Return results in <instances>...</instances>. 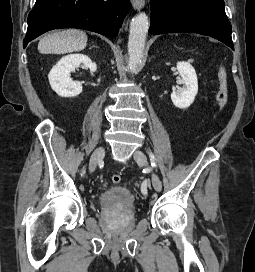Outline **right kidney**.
<instances>
[{
    "mask_svg": "<svg viewBox=\"0 0 255 272\" xmlns=\"http://www.w3.org/2000/svg\"><path fill=\"white\" fill-rule=\"evenodd\" d=\"M80 64L85 65L93 73L97 70L96 63L84 54H70L62 57L51 69L48 78L51 88L61 97H76L82 92V84L72 81L70 72Z\"/></svg>",
    "mask_w": 255,
    "mask_h": 272,
    "instance_id": "obj_1",
    "label": "right kidney"
}]
</instances>
